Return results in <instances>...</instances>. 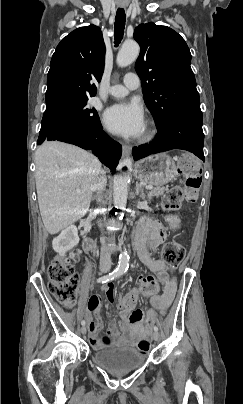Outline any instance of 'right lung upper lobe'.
I'll return each instance as SVG.
<instances>
[{"instance_id": "1", "label": "right lung upper lobe", "mask_w": 243, "mask_h": 404, "mask_svg": "<svg viewBox=\"0 0 243 404\" xmlns=\"http://www.w3.org/2000/svg\"><path fill=\"white\" fill-rule=\"evenodd\" d=\"M105 44L99 27L72 31L58 44L47 76L46 104L56 100L92 97L95 81L104 71Z\"/></svg>"}]
</instances>
